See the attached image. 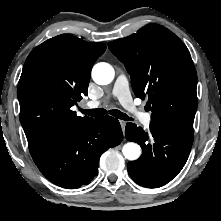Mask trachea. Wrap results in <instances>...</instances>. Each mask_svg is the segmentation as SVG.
<instances>
[{
	"instance_id": "1",
	"label": "trachea",
	"mask_w": 221,
	"mask_h": 221,
	"mask_svg": "<svg viewBox=\"0 0 221 221\" xmlns=\"http://www.w3.org/2000/svg\"><path fill=\"white\" fill-rule=\"evenodd\" d=\"M80 111L85 115L93 116V117L103 116V115L107 114V110H105L103 108H96V109H91V110L80 109ZM109 113L112 116H114L118 119H121V120H126V121L132 120V118H130L128 115H126L125 113H123L117 109L109 110Z\"/></svg>"
}]
</instances>
